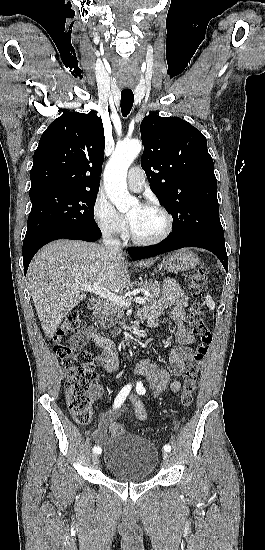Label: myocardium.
<instances>
[{"label":"myocardium","mask_w":265,"mask_h":550,"mask_svg":"<svg viewBox=\"0 0 265 550\" xmlns=\"http://www.w3.org/2000/svg\"><path fill=\"white\" fill-rule=\"evenodd\" d=\"M141 206L160 212L164 216L165 221H166L165 229L159 236H157L155 238L142 239V238L137 237L134 234V232L132 230V227H131V224L128 220V231H129V237H130L131 241L136 245L151 246V245L159 244V243L163 242L164 240H166L170 236V234L172 233L173 227H174V220H173V216L171 215V213L166 208H164L162 205H160L157 202H152V201L151 202H146V203L142 204Z\"/></svg>","instance_id":"myocardium-1"}]
</instances>
